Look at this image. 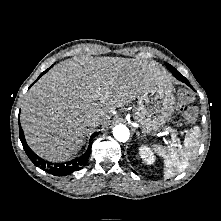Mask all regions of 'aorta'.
I'll return each mask as SVG.
<instances>
[{"label": "aorta", "instance_id": "aorta-1", "mask_svg": "<svg viewBox=\"0 0 221 221\" xmlns=\"http://www.w3.org/2000/svg\"><path fill=\"white\" fill-rule=\"evenodd\" d=\"M113 136L119 142H126L129 139L130 132L125 125H117L113 128Z\"/></svg>", "mask_w": 221, "mask_h": 221}]
</instances>
